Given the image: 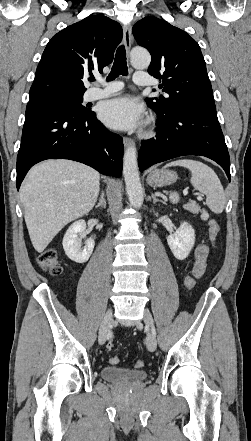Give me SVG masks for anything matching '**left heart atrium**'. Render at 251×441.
<instances>
[{"mask_svg": "<svg viewBox=\"0 0 251 441\" xmlns=\"http://www.w3.org/2000/svg\"><path fill=\"white\" fill-rule=\"evenodd\" d=\"M99 117L112 128L131 130L142 124L143 107L134 98L121 96L103 102Z\"/></svg>", "mask_w": 251, "mask_h": 441, "instance_id": "left-heart-atrium-1", "label": "left heart atrium"}]
</instances>
